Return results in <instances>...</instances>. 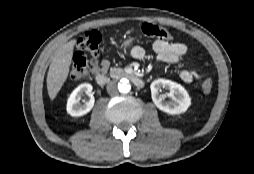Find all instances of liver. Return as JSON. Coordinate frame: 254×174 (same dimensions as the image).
<instances>
[{
	"label": "liver",
	"instance_id": "obj_1",
	"mask_svg": "<svg viewBox=\"0 0 254 174\" xmlns=\"http://www.w3.org/2000/svg\"><path fill=\"white\" fill-rule=\"evenodd\" d=\"M76 40H71L56 51L47 74V90L51 100H54L67 80L72 62L73 49Z\"/></svg>",
	"mask_w": 254,
	"mask_h": 174
}]
</instances>
